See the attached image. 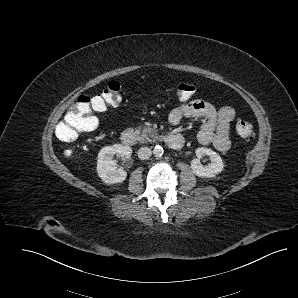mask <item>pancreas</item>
<instances>
[{
  "label": "pancreas",
  "mask_w": 298,
  "mask_h": 298,
  "mask_svg": "<svg viewBox=\"0 0 298 298\" xmlns=\"http://www.w3.org/2000/svg\"><path fill=\"white\" fill-rule=\"evenodd\" d=\"M135 133L140 136L141 141H150V138H156L157 130L147 126H138Z\"/></svg>",
  "instance_id": "1"
}]
</instances>
